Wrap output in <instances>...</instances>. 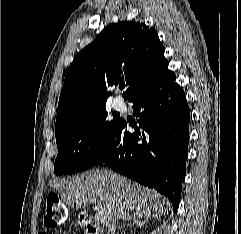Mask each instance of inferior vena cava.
<instances>
[{"label":"inferior vena cava","mask_w":241,"mask_h":234,"mask_svg":"<svg viewBox=\"0 0 241 234\" xmlns=\"http://www.w3.org/2000/svg\"><path fill=\"white\" fill-rule=\"evenodd\" d=\"M116 220H118V219L113 220L111 226L109 227V230H108V231H109L110 234H115Z\"/></svg>","instance_id":"obj_1"}]
</instances>
